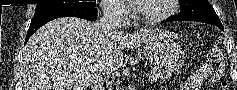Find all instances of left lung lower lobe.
<instances>
[{
	"label": "left lung lower lobe",
	"mask_w": 237,
	"mask_h": 90,
	"mask_svg": "<svg viewBox=\"0 0 237 90\" xmlns=\"http://www.w3.org/2000/svg\"><path fill=\"white\" fill-rule=\"evenodd\" d=\"M170 21H196V22L209 23V24L216 25L217 27H219L221 30L224 31V28H223V26H222L221 23H214V22H207V21L195 20V19H191V18L181 17V16H179V15H177V16H172V17L168 18L165 22H170Z\"/></svg>",
	"instance_id": "0a47b994"
}]
</instances>
